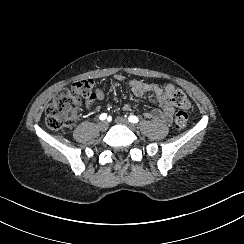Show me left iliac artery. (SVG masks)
Returning a JSON list of instances; mask_svg holds the SVG:
<instances>
[{"label": "left iliac artery", "mask_w": 244, "mask_h": 244, "mask_svg": "<svg viewBox=\"0 0 244 244\" xmlns=\"http://www.w3.org/2000/svg\"><path fill=\"white\" fill-rule=\"evenodd\" d=\"M128 120L131 123H137L139 121L138 117H136L134 115L129 116Z\"/></svg>", "instance_id": "44dca946"}]
</instances>
